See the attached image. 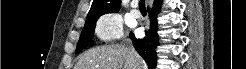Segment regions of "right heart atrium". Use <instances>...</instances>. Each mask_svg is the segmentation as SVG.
I'll use <instances>...</instances> for the list:
<instances>
[{
    "instance_id": "obj_1",
    "label": "right heart atrium",
    "mask_w": 246,
    "mask_h": 69,
    "mask_svg": "<svg viewBox=\"0 0 246 69\" xmlns=\"http://www.w3.org/2000/svg\"><path fill=\"white\" fill-rule=\"evenodd\" d=\"M95 34L102 41H114L123 35L122 20L115 13L102 15L95 25Z\"/></svg>"
}]
</instances>
